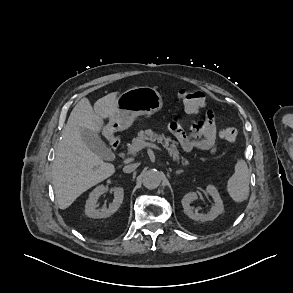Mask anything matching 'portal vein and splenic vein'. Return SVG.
<instances>
[{
	"label": "portal vein and splenic vein",
	"instance_id": "18ae733b",
	"mask_svg": "<svg viewBox=\"0 0 293 293\" xmlns=\"http://www.w3.org/2000/svg\"><path fill=\"white\" fill-rule=\"evenodd\" d=\"M145 147H147V148H153V149H156V150H158V151L163 152V149H162L161 147H159V146L156 145V144L149 143V142H141V143L135 145V146L133 147L132 151H133V152H138V151L142 150V149L145 148Z\"/></svg>",
	"mask_w": 293,
	"mask_h": 293
}]
</instances>
